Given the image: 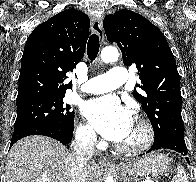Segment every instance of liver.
<instances>
[{
	"label": "liver",
	"mask_w": 196,
	"mask_h": 182,
	"mask_svg": "<svg viewBox=\"0 0 196 182\" xmlns=\"http://www.w3.org/2000/svg\"><path fill=\"white\" fill-rule=\"evenodd\" d=\"M72 153L60 142L34 135L17 141L9 151L6 182H71ZM102 167L87 165L86 182H100Z\"/></svg>",
	"instance_id": "liver-1"
}]
</instances>
